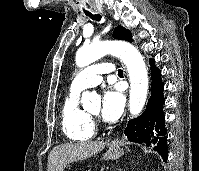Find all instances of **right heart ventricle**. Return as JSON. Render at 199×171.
I'll use <instances>...</instances> for the list:
<instances>
[{"label":"right heart ventricle","mask_w":199,"mask_h":171,"mask_svg":"<svg viewBox=\"0 0 199 171\" xmlns=\"http://www.w3.org/2000/svg\"><path fill=\"white\" fill-rule=\"evenodd\" d=\"M80 91L69 89L61 106V125L64 135L74 141L89 140L94 134L92 119L79 105Z\"/></svg>","instance_id":"e07e8e85"}]
</instances>
